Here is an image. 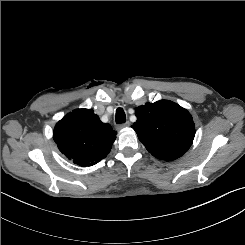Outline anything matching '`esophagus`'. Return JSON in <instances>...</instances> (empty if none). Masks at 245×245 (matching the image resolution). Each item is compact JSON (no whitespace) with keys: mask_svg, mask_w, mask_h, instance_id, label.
<instances>
[{"mask_svg":"<svg viewBox=\"0 0 245 245\" xmlns=\"http://www.w3.org/2000/svg\"><path fill=\"white\" fill-rule=\"evenodd\" d=\"M127 126H129V122H125V123L119 124V125L117 126V128H118V129H122V128H125V127H127Z\"/></svg>","mask_w":245,"mask_h":245,"instance_id":"obj_1","label":"esophagus"}]
</instances>
